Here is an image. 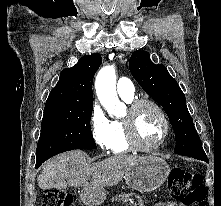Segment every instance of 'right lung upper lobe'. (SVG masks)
Segmentation results:
<instances>
[{"mask_svg": "<svg viewBox=\"0 0 221 206\" xmlns=\"http://www.w3.org/2000/svg\"><path fill=\"white\" fill-rule=\"evenodd\" d=\"M102 63L98 53L84 56L71 68L64 69L45 104V110L93 106L92 81Z\"/></svg>", "mask_w": 221, "mask_h": 206, "instance_id": "1", "label": "right lung upper lobe"}]
</instances>
